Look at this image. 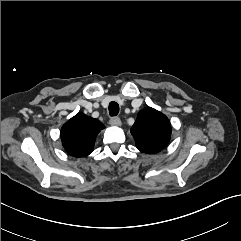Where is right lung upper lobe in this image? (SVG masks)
I'll return each instance as SVG.
<instances>
[{
    "mask_svg": "<svg viewBox=\"0 0 241 241\" xmlns=\"http://www.w3.org/2000/svg\"><path fill=\"white\" fill-rule=\"evenodd\" d=\"M104 125L84 113H78L62 127L60 135L63 147L74 157H84L93 151L97 134Z\"/></svg>",
    "mask_w": 241,
    "mask_h": 241,
    "instance_id": "obj_1",
    "label": "right lung upper lobe"
}]
</instances>
